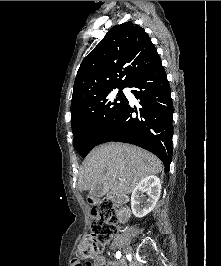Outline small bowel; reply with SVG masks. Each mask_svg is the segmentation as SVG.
Here are the masks:
<instances>
[{
    "instance_id": "c3829d8e",
    "label": "small bowel",
    "mask_w": 221,
    "mask_h": 266,
    "mask_svg": "<svg viewBox=\"0 0 221 266\" xmlns=\"http://www.w3.org/2000/svg\"><path fill=\"white\" fill-rule=\"evenodd\" d=\"M72 266H82L81 258H72ZM86 266H117L116 263L107 262L103 255H99L96 257L94 264H87Z\"/></svg>"
}]
</instances>
